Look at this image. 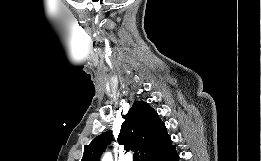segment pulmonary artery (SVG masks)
<instances>
[{
	"mask_svg": "<svg viewBox=\"0 0 261 161\" xmlns=\"http://www.w3.org/2000/svg\"><path fill=\"white\" fill-rule=\"evenodd\" d=\"M127 161H131L132 157L131 156H127Z\"/></svg>",
	"mask_w": 261,
	"mask_h": 161,
	"instance_id": "obj_1",
	"label": "pulmonary artery"
}]
</instances>
